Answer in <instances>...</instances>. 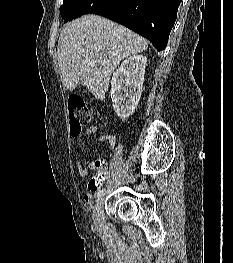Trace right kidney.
Masks as SVG:
<instances>
[{"label":"right kidney","instance_id":"obj_1","mask_svg":"<svg viewBox=\"0 0 233 263\" xmlns=\"http://www.w3.org/2000/svg\"><path fill=\"white\" fill-rule=\"evenodd\" d=\"M146 64L145 56L133 55L113 73L110 95L116 114L123 120L133 114L140 101Z\"/></svg>","mask_w":233,"mask_h":263}]
</instances>
